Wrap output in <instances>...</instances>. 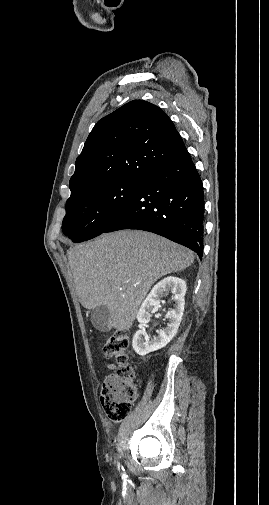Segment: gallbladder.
Returning a JSON list of instances; mask_svg holds the SVG:
<instances>
[{
	"label": "gallbladder",
	"mask_w": 269,
	"mask_h": 505,
	"mask_svg": "<svg viewBox=\"0 0 269 505\" xmlns=\"http://www.w3.org/2000/svg\"><path fill=\"white\" fill-rule=\"evenodd\" d=\"M91 322L93 326L101 332L110 331L112 328V320L109 309L103 305L92 309Z\"/></svg>",
	"instance_id": "obj_1"
}]
</instances>
